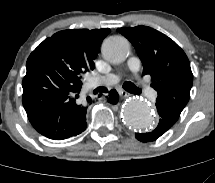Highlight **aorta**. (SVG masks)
Here are the masks:
<instances>
[{
	"instance_id": "762f6f07",
	"label": "aorta",
	"mask_w": 215,
	"mask_h": 183,
	"mask_svg": "<svg viewBox=\"0 0 215 183\" xmlns=\"http://www.w3.org/2000/svg\"><path fill=\"white\" fill-rule=\"evenodd\" d=\"M104 57L111 63L118 64L125 60L128 54L127 42L122 38H110L102 46ZM122 118L130 130H144L154 124V116L140 101H129L122 109Z\"/></svg>"
}]
</instances>
